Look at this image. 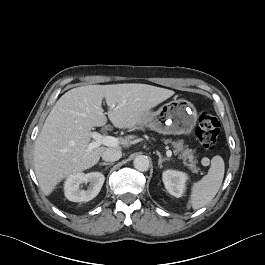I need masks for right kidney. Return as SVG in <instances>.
Listing matches in <instances>:
<instances>
[{"instance_id":"right-kidney-1","label":"right kidney","mask_w":265,"mask_h":265,"mask_svg":"<svg viewBox=\"0 0 265 265\" xmlns=\"http://www.w3.org/2000/svg\"><path fill=\"white\" fill-rule=\"evenodd\" d=\"M105 177L100 172L87 174L78 172L70 175L64 184L65 196L72 202H87L98 195L104 183ZM89 183L87 190L81 189L80 185Z\"/></svg>"}]
</instances>
